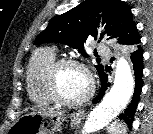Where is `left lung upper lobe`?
<instances>
[{"label":"left lung upper lobe","mask_w":153,"mask_h":134,"mask_svg":"<svg viewBox=\"0 0 153 134\" xmlns=\"http://www.w3.org/2000/svg\"><path fill=\"white\" fill-rule=\"evenodd\" d=\"M100 22L102 26L106 23L105 27L100 26ZM106 34L119 37L121 44L136 45L140 42L131 9L120 0L83 1L68 12L53 17L34 44L62 43L87 56L82 50L86 39L94 37L100 41ZM95 67L99 75L104 70L102 65Z\"/></svg>","instance_id":"5c2ea615"}]
</instances>
